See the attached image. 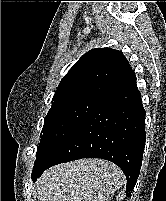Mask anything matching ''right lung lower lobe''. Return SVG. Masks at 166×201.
<instances>
[{
  "instance_id": "1",
  "label": "right lung lower lobe",
  "mask_w": 166,
  "mask_h": 201,
  "mask_svg": "<svg viewBox=\"0 0 166 201\" xmlns=\"http://www.w3.org/2000/svg\"><path fill=\"white\" fill-rule=\"evenodd\" d=\"M145 110L132 71L113 88L99 106L32 175L36 181L55 164L81 158H101L115 163L126 176V195L131 196L140 173L145 147Z\"/></svg>"
}]
</instances>
